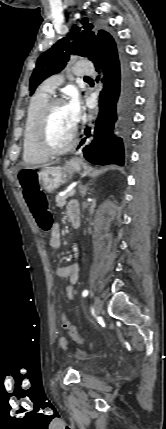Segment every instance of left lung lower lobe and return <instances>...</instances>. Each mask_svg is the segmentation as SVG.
<instances>
[{"label": "left lung lower lobe", "mask_w": 166, "mask_h": 429, "mask_svg": "<svg viewBox=\"0 0 166 429\" xmlns=\"http://www.w3.org/2000/svg\"><path fill=\"white\" fill-rule=\"evenodd\" d=\"M104 72V89L100 94V113L91 134L94 140L83 148L84 157L97 165H124V143L130 135L134 108V84L129 61L123 47L115 40L98 43L92 60ZM80 145L78 147H80Z\"/></svg>", "instance_id": "0a47b994"}]
</instances>
